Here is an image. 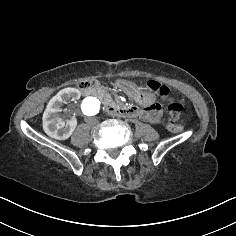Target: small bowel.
<instances>
[{
  "instance_id": "c3829d8e",
  "label": "small bowel",
  "mask_w": 236,
  "mask_h": 236,
  "mask_svg": "<svg viewBox=\"0 0 236 236\" xmlns=\"http://www.w3.org/2000/svg\"><path fill=\"white\" fill-rule=\"evenodd\" d=\"M140 115L143 118L156 123L161 118V108L159 105L153 104L151 106L140 109Z\"/></svg>"
}]
</instances>
